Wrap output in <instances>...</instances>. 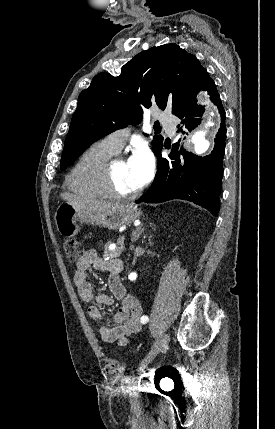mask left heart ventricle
<instances>
[{"label":"left heart ventricle","instance_id":"obj_1","mask_svg":"<svg viewBox=\"0 0 275 429\" xmlns=\"http://www.w3.org/2000/svg\"><path fill=\"white\" fill-rule=\"evenodd\" d=\"M115 185L118 191L124 194L135 192L138 188L135 186L127 161H117L113 167Z\"/></svg>","mask_w":275,"mask_h":429}]
</instances>
